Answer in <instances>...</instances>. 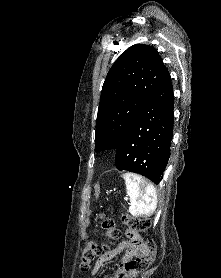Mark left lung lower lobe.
Here are the masks:
<instances>
[{"mask_svg":"<svg viewBox=\"0 0 221 278\" xmlns=\"http://www.w3.org/2000/svg\"><path fill=\"white\" fill-rule=\"evenodd\" d=\"M171 77L166 69L154 93L120 145L115 163L119 170L139 173L158 184L170 157L174 104Z\"/></svg>","mask_w":221,"mask_h":278,"instance_id":"1","label":"left lung lower lobe"}]
</instances>
